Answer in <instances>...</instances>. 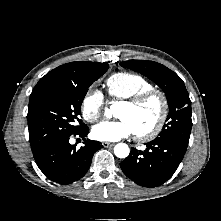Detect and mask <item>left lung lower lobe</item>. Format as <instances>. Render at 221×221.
<instances>
[{"label":"left lung lower lobe","mask_w":221,"mask_h":221,"mask_svg":"<svg viewBox=\"0 0 221 221\" xmlns=\"http://www.w3.org/2000/svg\"><path fill=\"white\" fill-rule=\"evenodd\" d=\"M146 150L132 149L120 167L138 185L156 187L166 182L182 161L187 146L171 139H154Z\"/></svg>","instance_id":"1"}]
</instances>
